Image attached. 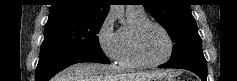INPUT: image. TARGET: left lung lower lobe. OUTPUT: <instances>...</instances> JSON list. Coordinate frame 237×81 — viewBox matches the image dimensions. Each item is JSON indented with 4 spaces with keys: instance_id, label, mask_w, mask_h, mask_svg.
Instances as JSON below:
<instances>
[{
    "instance_id": "obj_1",
    "label": "left lung lower lobe",
    "mask_w": 237,
    "mask_h": 81,
    "mask_svg": "<svg viewBox=\"0 0 237 81\" xmlns=\"http://www.w3.org/2000/svg\"><path fill=\"white\" fill-rule=\"evenodd\" d=\"M160 68L169 67L166 64L160 65ZM171 68H181L189 70L198 75L202 81H207V64L206 63H189Z\"/></svg>"
}]
</instances>
